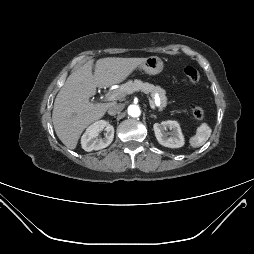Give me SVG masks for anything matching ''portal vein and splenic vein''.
I'll return each instance as SVG.
<instances>
[{"label": "portal vein and splenic vein", "mask_w": 254, "mask_h": 254, "mask_svg": "<svg viewBox=\"0 0 254 254\" xmlns=\"http://www.w3.org/2000/svg\"><path fill=\"white\" fill-rule=\"evenodd\" d=\"M120 97H122V94L119 92H115V93H111V94H107L105 96V99L107 101H112V100H116L119 99ZM149 99V103L152 109H155V105H159L160 104V99L157 98L156 101L154 102L150 97H148Z\"/></svg>", "instance_id": "obj_1"}]
</instances>
